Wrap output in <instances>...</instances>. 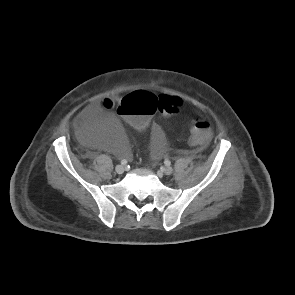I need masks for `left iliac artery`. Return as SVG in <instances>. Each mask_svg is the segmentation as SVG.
Returning <instances> with one entry per match:
<instances>
[{
    "label": "left iliac artery",
    "instance_id": "44dca946",
    "mask_svg": "<svg viewBox=\"0 0 295 295\" xmlns=\"http://www.w3.org/2000/svg\"><path fill=\"white\" fill-rule=\"evenodd\" d=\"M164 163H165L166 166H169L171 164V162L169 160H165Z\"/></svg>",
    "mask_w": 295,
    "mask_h": 295
}]
</instances>
